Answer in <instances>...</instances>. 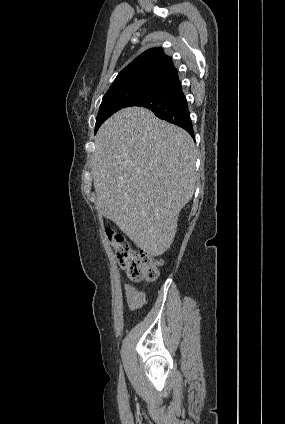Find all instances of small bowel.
<instances>
[{"label": "small bowel", "instance_id": "obj_1", "mask_svg": "<svg viewBox=\"0 0 285 424\" xmlns=\"http://www.w3.org/2000/svg\"><path fill=\"white\" fill-rule=\"evenodd\" d=\"M124 295L129 309L133 311L141 308L147 302L144 293L130 284L124 285Z\"/></svg>", "mask_w": 285, "mask_h": 424}]
</instances>
